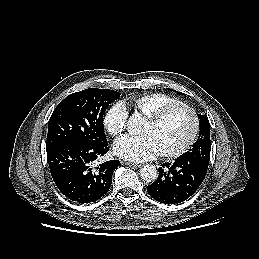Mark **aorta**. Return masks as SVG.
I'll return each instance as SVG.
<instances>
[{"label":"aorta","mask_w":259,"mask_h":259,"mask_svg":"<svg viewBox=\"0 0 259 259\" xmlns=\"http://www.w3.org/2000/svg\"><path fill=\"white\" fill-rule=\"evenodd\" d=\"M143 125V118L139 113H134L127 121V129L129 134H140ZM140 176L143 180L151 182L157 179L158 171L155 166L146 164L140 169Z\"/></svg>","instance_id":"obj_1"}]
</instances>
